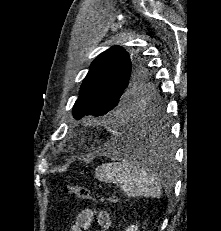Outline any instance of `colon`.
<instances>
[{
	"label": "colon",
	"instance_id": "obj_1",
	"mask_svg": "<svg viewBox=\"0 0 221 231\" xmlns=\"http://www.w3.org/2000/svg\"><path fill=\"white\" fill-rule=\"evenodd\" d=\"M62 192L67 195H75L76 197L87 200L90 202H110L116 203L118 198L112 197H101V196H94L87 188L82 187L80 185H73L67 184L62 188Z\"/></svg>",
	"mask_w": 221,
	"mask_h": 231
}]
</instances>
